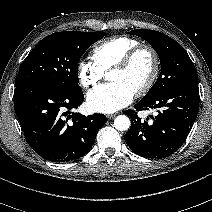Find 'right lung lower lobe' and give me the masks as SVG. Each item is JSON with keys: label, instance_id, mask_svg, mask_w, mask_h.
I'll use <instances>...</instances> for the list:
<instances>
[{"label": "right lung lower lobe", "instance_id": "98d812e1", "mask_svg": "<svg viewBox=\"0 0 212 212\" xmlns=\"http://www.w3.org/2000/svg\"><path fill=\"white\" fill-rule=\"evenodd\" d=\"M83 101V93L72 94L48 83L15 88L16 115L26 141L38 155L52 162H69L90 150L107 118L71 112Z\"/></svg>", "mask_w": 212, "mask_h": 212}]
</instances>
